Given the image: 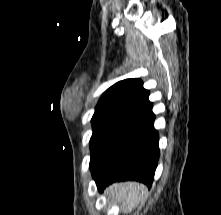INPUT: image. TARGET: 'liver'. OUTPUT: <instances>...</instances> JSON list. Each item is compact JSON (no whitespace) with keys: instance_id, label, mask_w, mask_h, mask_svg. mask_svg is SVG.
Segmentation results:
<instances>
[{"instance_id":"1","label":"liver","mask_w":221,"mask_h":215,"mask_svg":"<svg viewBox=\"0 0 221 215\" xmlns=\"http://www.w3.org/2000/svg\"><path fill=\"white\" fill-rule=\"evenodd\" d=\"M146 186L138 182L115 183L106 190L108 201L118 204L124 214L131 213L146 194Z\"/></svg>"}]
</instances>
